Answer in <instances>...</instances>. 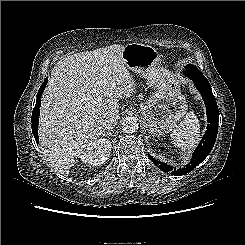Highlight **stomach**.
Wrapping results in <instances>:
<instances>
[{"instance_id":"0dacf381","label":"stomach","mask_w":245,"mask_h":245,"mask_svg":"<svg viewBox=\"0 0 245 245\" xmlns=\"http://www.w3.org/2000/svg\"><path fill=\"white\" fill-rule=\"evenodd\" d=\"M128 70L143 76L156 91L140 104L139 113L153 135L168 133L187 112V101L181 93L177 76L160 68V54L152 46L130 43L122 52Z\"/></svg>"}]
</instances>
